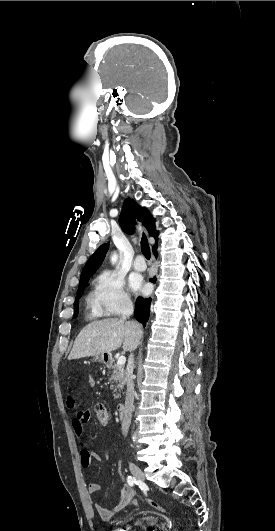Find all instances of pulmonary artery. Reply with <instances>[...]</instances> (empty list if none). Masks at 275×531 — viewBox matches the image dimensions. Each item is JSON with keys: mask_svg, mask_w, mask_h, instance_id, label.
I'll use <instances>...</instances> for the list:
<instances>
[{"mask_svg": "<svg viewBox=\"0 0 275 531\" xmlns=\"http://www.w3.org/2000/svg\"><path fill=\"white\" fill-rule=\"evenodd\" d=\"M147 267V264L144 260L142 254H139L133 262V268L137 271H144Z\"/></svg>", "mask_w": 275, "mask_h": 531, "instance_id": "obj_1", "label": "pulmonary artery"}]
</instances>
